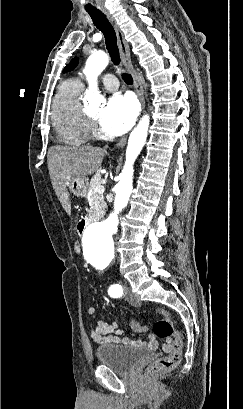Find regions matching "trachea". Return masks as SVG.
Wrapping results in <instances>:
<instances>
[{
	"instance_id": "obj_1",
	"label": "trachea",
	"mask_w": 243,
	"mask_h": 409,
	"mask_svg": "<svg viewBox=\"0 0 243 409\" xmlns=\"http://www.w3.org/2000/svg\"><path fill=\"white\" fill-rule=\"evenodd\" d=\"M88 13L92 18L94 25L104 34L106 48L113 63L118 66L120 64V56L117 46L116 33L113 26L101 11H89ZM122 79L128 85L133 84L132 76L128 73H123Z\"/></svg>"
}]
</instances>
